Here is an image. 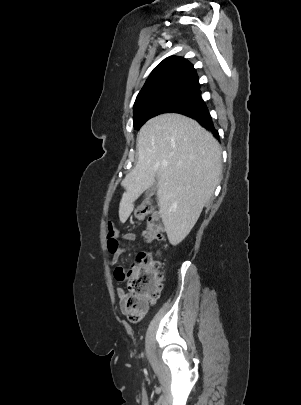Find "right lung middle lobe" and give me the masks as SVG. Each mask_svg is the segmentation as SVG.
I'll return each instance as SVG.
<instances>
[{
  "label": "right lung middle lobe",
  "mask_w": 301,
  "mask_h": 405,
  "mask_svg": "<svg viewBox=\"0 0 301 405\" xmlns=\"http://www.w3.org/2000/svg\"><path fill=\"white\" fill-rule=\"evenodd\" d=\"M206 107L201 92L192 89H172L143 98L134 106V128L139 130L150 118L163 114Z\"/></svg>",
  "instance_id": "1"
}]
</instances>
